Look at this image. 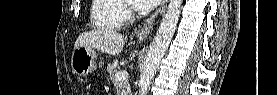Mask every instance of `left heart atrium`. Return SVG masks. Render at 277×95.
<instances>
[{
    "label": "left heart atrium",
    "instance_id": "obj_1",
    "mask_svg": "<svg viewBox=\"0 0 277 95\" xmlns=\"http://www.w3.org/2000/svg\"><path fill=\"white\" fill-rule=\"evenodd\" d=\"M158 3L159 0H136L137 7L144 11H150L154 9Z\"/></svg>",
    "mask_w": 277,
    "mask_h": 95
}]
</instances>
